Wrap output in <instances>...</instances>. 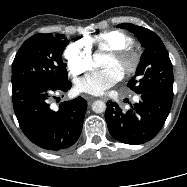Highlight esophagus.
I'll use <instances>...</instances> for the list:
<instances>
[{"instance_id": "obj_1", "label": "esophagus", "mask_w": 187, "mask_h": 187, "mask_svg": "<svg viewBox=\"0 0 187 187\" xmlns=\"http://www.w3.org/2000/svg\"><path fill=\"white\" fill-rule=\"evenodd\" d=\"M84 98L88 102V104H91L95 100L94 97L88 95H85Z\"/></svg>"}]
</instances>
